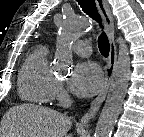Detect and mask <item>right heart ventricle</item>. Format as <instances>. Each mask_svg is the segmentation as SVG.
Here are the masks:
<instances>
[{
  "label": "right heart ventricle",
  "instance_id": "right-heart-ventricle-1",
  "mask_svg": "<svg viewBox=\"0 0 144 137\" xmlns=\"http://www.w3.org/2000/svg\"><path fill=\"white\" fill-rule=\"evenodd\" d=\"M46 45L35 46L27 54L18 76L20 98L29 103L48 104L54 99L57 79L49 67Z\"/></svg>",
  "mask_w": 144,
  "mask_h": 137
}]
</instances>
